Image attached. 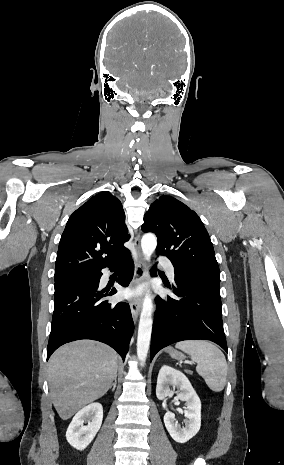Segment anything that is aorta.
<instances>
[{
    "instance_id": "obj_1",
    "label": "aorta",
    "mask_w": 284,
    "mask_h": 465,
    "mask_svg": "<svg viewBox=\"0 0 284 465\" xmlns=\"http://www.w3.org/2000/svg\"><path fill=\"white\" fill-rule=\"evenodd\" d=\"M157 246V238L152 233L145 234L141 239V248L146 260H150L151 255ZM152 311L153 303L149 291L145 294L143 307L140 315L138 337H137V356L141 365L143 366L150 345L152 333Z\"/></svg>"
}]
</instances>
